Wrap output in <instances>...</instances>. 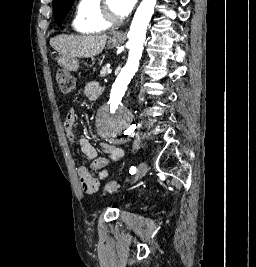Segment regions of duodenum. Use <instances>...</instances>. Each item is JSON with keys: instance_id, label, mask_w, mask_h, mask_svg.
Instances as JSON below:
<instances>
[{"instance_id": "410a0bca", "label": "duodenum", "mask_w": 256, "mask_h": 267, "mask_svg": "<svg viewBox=\"0 0 256 267\" xmlns=\"http://www.w3.org/2000/svg\"><path fill=\"white\" fill-rule=\"evenodd\" d=\"M65 71H73V66H65Z\"/></svg>"}]
</instances>
